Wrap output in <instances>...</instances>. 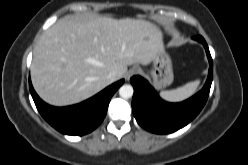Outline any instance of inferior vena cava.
<instances>
[{
    "label": "inferior vena cava",
    "instance_id": "obj_1",
    "mask_svg": "<svg viewBox=\"0 0 248 165\" xmlns=\"http://www.w3.org/2000/svg\"><path fill=\"white\" fill-rule=\"evenodd\" d=\"M107 78L110 82H114L118 78V73L116 71H111L108 75Z\"/></svg>",
    "mask_w": 248,
    "mask_h": 165
}]
</instances>
